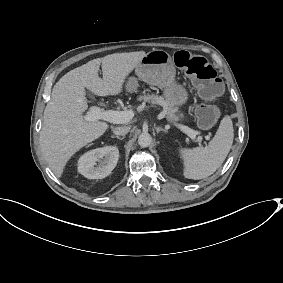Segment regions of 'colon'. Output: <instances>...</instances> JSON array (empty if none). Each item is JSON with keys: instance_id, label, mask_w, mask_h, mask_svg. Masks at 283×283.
<instances>
[{"instance_id": "5ec220e1", "label": "colon", "mask_w": 283, "mask_h": 283, "mask_svg": "<svg viewBox=\"0 0 283 283\" xmlns=\"http://www.w3.org/2000/svg\"><path fill=\"white\" fill-rule=\"evenodd\" d=\"M173 59L175 64L192 78L200 96L206 101L197 109L198 123L203 128L212 127L219 117V109L213 102L222 91V83L216 70L204 57L187 51L176 52Z\"/></svg>"}]
</instances>
